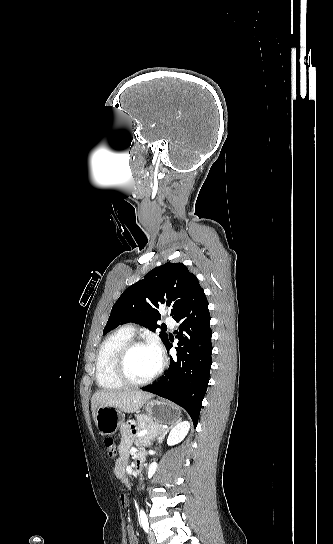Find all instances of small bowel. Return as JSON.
<instances>
[{
    "label": "small bowel",
    "mask_w": 333,
    "mask_h": 544,
    "mask_svg": "<svg viewBox=\"0 0 333 544\" xmlns=\"http://www.w3.org/2000/svg\"><path fill=\"white\" fill-rule=\"evenodd\" d=\"M132 431L127 425H123L121 428V441L118 447V457L114 464V473L117 479L125 486H129V480L126 473V466L128 462L129 449L132 444ZM121 506L126 508L128 505V499L122 495L120 497ZM129 544H138L137 537L134 533L132 526L126 528Z\"/></svg>",
    "instance_id": "obj_1"
}]
</instances>
